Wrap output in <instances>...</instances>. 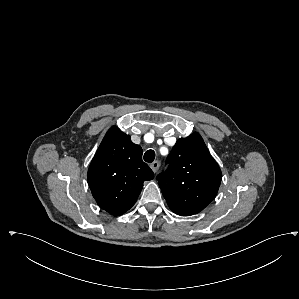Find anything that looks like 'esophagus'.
<instances>
[{
  "label": "esophagus",
  "mask_w": 299,
  "mask_h": 299,
  "mask_svg": "<svg viewBox=\"0 0 299 299\" xmlns=\"http://www.w3.org/2000/svg\"><path fill=\"white\" fill-rule=\"evenodd\" d=\"M159 166H160V164L158 161H154L150 164V167L154 173H156L158 171Z\"/></svg>",
  "instance_id": "34e87169"
}]
</instances>
